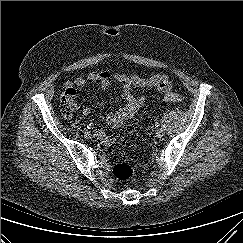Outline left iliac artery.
Masks as SVG:
<instances>
[{
  "instance_id": "left-iliac-artery-1",
  "label": "left iliac artery",
  "mask_w": 243,
  "mask_h": 243,
  "mask_svg": "<svg viewBox=\"0 0 243 243\" xmlns=\"http://www.w3.org/2000/svg\"><path fill=\"white\" fill-rule=\"evenodd\" d=\"M155 126H156V127H158V126H159V123H158V122H156V123H155Z\"/></svg>"
}]
</instances>
